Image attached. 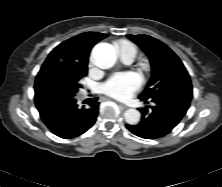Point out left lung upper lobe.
<instances>
[{"label":"left lung upper lobe","instance_id":"obj_1","mask_svg":"<svg viewBox=\"0 0 222 187\" xmlns=\"http://www.w3.org/2000/svg\"><path fill=\"white\" fill-rule=\"evenodd\" d=\"M148 56L152 75L140 100H151L165 91L192 86L190 76L179 57L164 43L148 35H128Z\"/></svg>","mask_w":222,"mask_h":187}]
</instances>
